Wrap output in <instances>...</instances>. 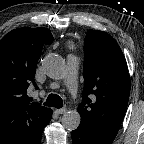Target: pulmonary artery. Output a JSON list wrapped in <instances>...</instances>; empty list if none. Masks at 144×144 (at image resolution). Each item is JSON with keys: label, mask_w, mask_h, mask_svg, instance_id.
<instances>
[{"label": "pulmonary artery", "mask_w": 144, "mask_h": 144, "mask_svg": "<svg viewBox=\"0 0 144 144\" xmlns=\"http://www.w3.org/2000/svg\"><path fill=\"white\" fill-rule=\"evenodd\" d=\"M77 74H78V58L69 55L67 57V71H66V78L65 84L68 88H72L77 83Z\"/></svg>", "instance_id": "obj_1"}]
</instances>
